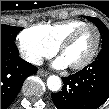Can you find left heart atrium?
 <instances>
[{"label":"left heart atrium","mask_w":109,"mask_h":109,"mask_svg":"<svg viewBox=\"0 0 109 109\" xmlns=\"http://www.w3.org/2000/svg\"><path fill=\"white\" fill-rule=\"evenodd\" d=\"M67 66V62L64 60V58H59L54 62V67L56 68H64Z\"/></svg>","instance_id":"left-heart-atrium-1"}]
</instances>
